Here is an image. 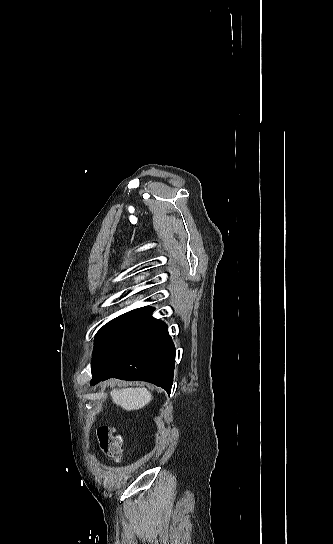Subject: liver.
Returning a JSON list of instances; mask_svg holds the SVG:
<instances>
[{"label":"liver","mask_w":333,"mask_h":544,"mask_svg":"<svg viewBox=\"0 0 333 544\" xmlns=\"http://www.w3.org/2000/svg\"><path fill=\"white\" fill-rule=\"evenodd\" d=\"M110 396L117 406H121L127 411L143 408L152 398L146 388L113 389Z\"/></svg>","instance_id":"1"}]
</instances>
